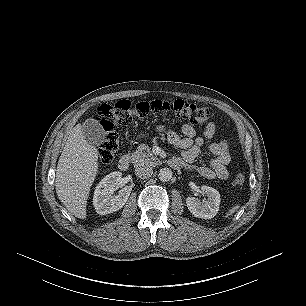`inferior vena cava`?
Returning <instances> with one entry per match:
<instances>
[{
  "instance_id": "obj_1",
  "label": "inferior vena cava",
  "mask_w": 306,
  "mask_h": 306,
  "mask_svg": "<svg viewBox=\"0 0 306 306\" xmlns=\"http://www.w3.org/2000/svg\"><path fill=\"white\" fill-rule=\"evenodd\" d=\"M135 174L139 178H148L153 174V168L148 165L139 166L135 169Z\"/></svg>"
}]
</instances>
